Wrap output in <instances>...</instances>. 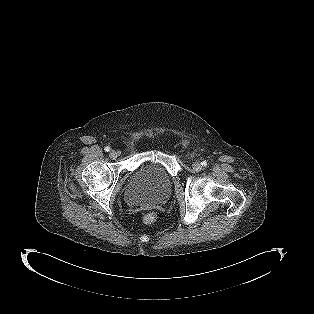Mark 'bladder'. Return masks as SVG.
Segmentation results:
<instances>
[{"label": "bladder", "mask_w": 314, "mask_h": 314, "mask_svg": "<svg viewBox=\"0 0 314 314\" xmlns=\"http://www.w3.org/2000/svg\"><path fill=\"white\" fill-rule=\"evenodd\" d=\"M172 182L167 171L156 163L138 168L124 189L129 205H159L171 195Z\"/></svg>", "instance_id": "1"}]
</instances>
